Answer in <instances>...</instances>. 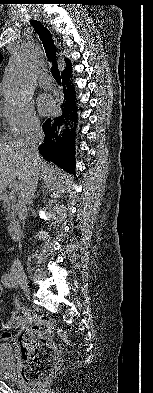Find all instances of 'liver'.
<instances>
[{
    "mask_svg": "<svg viewBox=\"0 0 153 393\" xmlns=\"http://www.w3.org/2000/svg\"><path fill=\"white\" fill-rule=\"evenodd\" d=\"M40 161L39 153L31 151L24 139L0 143V193L16 177L22 184Z\"/></svg>",
    "mask_w": 153,
    "mask_h": 393,
    "instance_id": "liver-1",
    "label": "liver"
}]
</instances>
